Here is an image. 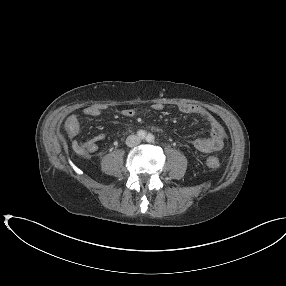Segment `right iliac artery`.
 Segmentation results:
<instances>
[{
  "instance_id": "82829eb1",
  "label": "right iliac artery",
  "mask_w": 286,
  "mask_h": 286,
  "mask_svg": "<svg viewBox=\"0 0 286 286\" xmlns=\"http://www.w3.org/2000/svg\"><path fill=\"white\" fill-rule=\"evenodd\" d=\"M137 136L140 138V139H144L146 137V132L144 130H139L137 132Z\"/></svg>"
}]
</instances>
